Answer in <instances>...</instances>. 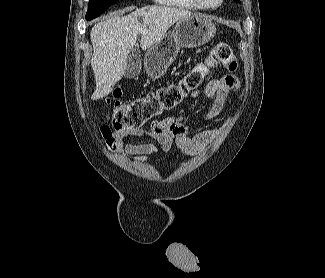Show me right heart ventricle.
Here are the masks:
<instances>
[{
	"label": "right heart ventricle",
	"mask_w": 325,
	"mask_h": 278,
	"mask_svg": "<svg viewBox=\"0 0 325 278\" xmlns=\"http://www.w3.org/2000/svg\"><path fill=\"white\" fill-rule=\"evenodd\" d=\"M155 1L162 5L186 9V10L203 9L196 0H155Z\"/></svg>",
	"instance_id": "e07e8e85"
}]
</instances>
